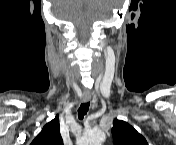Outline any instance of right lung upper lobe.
<instances>
[{
	"instance_id": "obj_1",
	"label": "right lung upper lobe",
	"mask_w": 176,
	"mask_h": 145,
	"mask_svg": "<svg viewBox=\"0 0 176 145\" xmlns=\"http://www.w3.org/2000/svg\"><path fill=\"white\" fill-rule=\"evenodd\" d=\"M31 145H63L58 115L43 127Z\"/></svg>"
}]
</instances>
